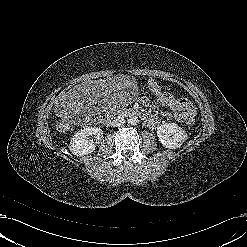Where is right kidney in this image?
<instances>
[{"label": "right kidney", "mask_w": 247, "mask_h": 247, "mask_svg": "<svg viewBox=\"0 0 247 247\" xmlns=\"http://www.w3.org/2000/svg\"><path fill=\"white\" fill-rule=\"evenodd\" d=\"M94 136L95 140L90 139ZM103 137V131L97 127H87L81 129L71 138L69 149L76 156H83L92 153L96 148V143Z\"/></svg>", "instance_id": "ca27d5eb"}]
</instances>
